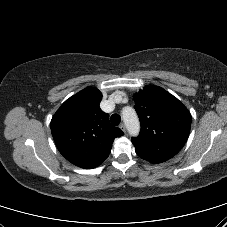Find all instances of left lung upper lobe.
Wrapping results in <instances>:
<instances>
[{
    "instance_id": "obj_1",
    "label": "left lung upper lobe",
    "mask_w": 227,
    "mask_h": 227,
    "mask_svg": "<svg viewBox=\"0 0 227 227\" xmlns=\"http://www.w3.org/2000/svg\"><path fill=\"white\" fill-rule=\"evenodd\" d=\"M141 131L131 141L139 157L161 163L175 156L187 141L191 114L173 95L160 87L146 86L134 95Z\"/></svg>"
}]
</instances>
